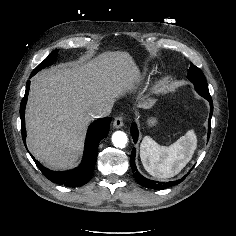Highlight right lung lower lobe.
<instances>
[{"instance_id": "obj_1", "label": "right lung lower lobe", "mask_w": 236, "mask_h": 236, "mask_svg": "<svg viewBox=\"0 0 236 236\" xmlns=\"http://www.w3.org/2000/svg\"><path fill=\"white\" fill-rule=\"evenodd\" d=\"M33 75L31 74V77ZM30 82L26 84L25 95L20 105V118H21V132L24 144H26V129H25V106L27 103V96L29 93ZM111 118H102L92 123L87 132L84 156L82 163L73 170L69 171H51L41 165L37 160H34L37 167L44 174V176L52 182L67 187H78L87 183L93 174L97 152L98 143L105 137L109 132ZM33 158V157H32ZM34 159V158H33Z\"/></svg>"}]
</instances>
